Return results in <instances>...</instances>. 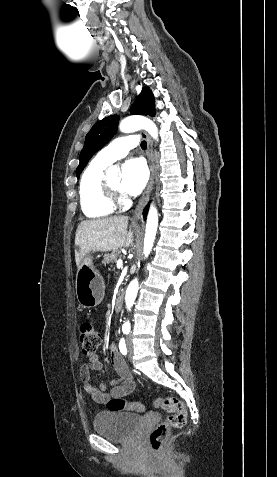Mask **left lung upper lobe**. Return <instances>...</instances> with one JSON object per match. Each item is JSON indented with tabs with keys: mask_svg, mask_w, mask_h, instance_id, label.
<instances>
[{
	"mask_svg": "<svg viewBox=\"0 0 277 477\" xmlns=\"http://www.w3.org/2000/svg\"><path fill=\"white\" fill-rule=\"evenodd\" d=\"M154 96L149 87H144L130 108L131 114L155 115ZM119 116L111 115L97 122L88 132L85 144L80 154V163L76 170L77 178L87 165L90 158L105 146L117 130Z\"/></svg>",
	"mask_w": 277,
	"mask_h": 477,
	"instance_id": "left-lung-upper-lobe-1",
	"label": "left lung upper lobe"
}]
</instances>
